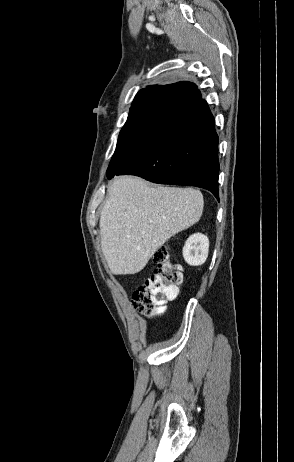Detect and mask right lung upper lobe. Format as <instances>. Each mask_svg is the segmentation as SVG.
Masks as SVG:
<instances>
[{
  "label": "right lung upper lobe",
  "mask_w": 294,
  "mask_h": 462,
  "mask_svg": "<svg viewBox=\"0 0 294 462\" xmlns=\"http://www.w3.org/2000/svg\"><path fill=\"white\" fill-rule=\"evenodd\" d=\"M193 91L195 94H200L197 86L191 82H178L165 86H148L147 88L142 89L137 93L134 101L132 102V107L171 95L188 100V94Z\"/></svg>",
  "instance_id": "obj_1"
}]
</instances>
